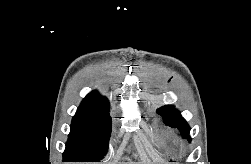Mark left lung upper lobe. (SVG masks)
I'll list each match as a JSON object with an SVG mask.
<instances>
[{
    "instance_id": "1",
    "label": "left lung upper lobe",
    "mask_w": 251,
    "mask_h": 164,
    "mask_svg": "<svg viewBox=\"0 0 251 164\" xmlns=\"http://www.w3.org/2000/svg\"><path fill=\"white\" fill-rule=\"evenodd\" d=\"M157 111L159 114L163 115L168 122L176 125L182 134H184L185 136L189 135L190 128L188 124L174 106L166 105L159 108Z\"/></svg>"
}]
</instances>
